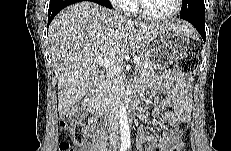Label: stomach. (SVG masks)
Instances as JSON below:
<instances>
[{"label": "stomach", "instance_id": "obj_1", "mask_svg": "<svg viewBox=\"0 0 231 151\" xmlns=\"http://www.w3.org/2000/svg\"><path fill=\"white\" fill-rule=\"evenodd\" d=\"M189 47V36L168 24L152 36L143 53L150 64L162 69L182 58Z\"/></svg>", "mask_w": 231, "mask_h": 151}]
</instances>
